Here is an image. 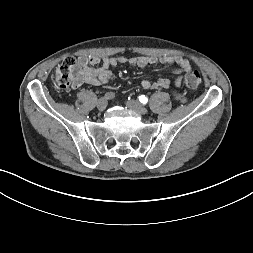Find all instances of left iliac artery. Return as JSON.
I'll return each mask as SVG.
<instances>
[{
    "instance_id": "left-iliac-artery-1",
    "label": "left iliac artery",
    "mask_w": 253,
    "mask_h": 253,
    "mask_svg": "<svg viewBox=\"0 0 253 253\" xmlns=\"http://www.w3.org/2000/svg\"><path fill=\"white\" fill-rule=\"evenodd\" d=\"M139 101H140L141 103H147L148 99H147V97H145L144 95H141V96L139 97Z\"/></svg>"
}]
</instances>
